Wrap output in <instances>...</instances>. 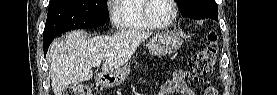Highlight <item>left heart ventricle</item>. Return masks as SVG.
<instances>
[{
	"instance_id": "1",
	"label": "left heart ventricle",
	"mask_w": 277,
	"mask_h": 95,
	"mask_svg": "<svg viewBox=\"0 0 277 95\" xmlns=\"http://www.w3.org/2000/svg\"><path fill=\"white\" fill-rule=\"evenodd\" d=\"M174 8L169 0H152L149 7L151 17L160 23L169 21L173 15Z\"/></svg>"
}]
</instances>
